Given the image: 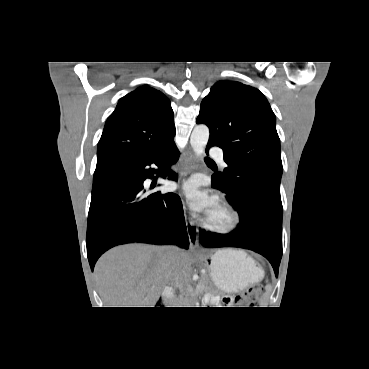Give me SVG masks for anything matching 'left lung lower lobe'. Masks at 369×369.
I'll return each mask as SVG.
<instances>
[{
    "label": "left lung lower lobe",
    "mask_w": 369,
    "mask_h": 369,
    "mask_svg": "<svg viewBox=\"0 0 369 369\" xmlns=\"http://www.w3.org/2000/svg\"><path fill=\"white\" fill-rule=\"evenodd\" d=\"M214 145L207 144L206 152ZM212 187L227 194V200L239 213V204L245 202L249 215L240 217L235 230L219 234L200 230L199 245L207 248L238 247L253 250L269 260L278 276L282 257V203L268 196L248 194L242 200L224 191L212 177Z\"/></svg>",
    "instance_id": "left-lung-lower-lobe-1"
}]
</instances>
